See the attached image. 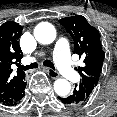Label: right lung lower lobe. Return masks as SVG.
Wrapping results in <instances>:
<instances>
[{
  "label": "right lung lower lobe",
  "instance_id": "1",
  "mask_svg": "<svg viewBox=\"0 0 117 117\" xmlns=\"http://www.w3.org/2000/svg\"><path fill=\"white\" fill-rule=\"evenodd\" d=\"M25 87L26 82L24 81V79L19 81L10 93V95L7 98L1 100L0 103L6 106L17 105L20 102V100L24 97Z\"/></svg>",
  "mask_w": 117,
  "mask_h": 117
}]
</instances>
